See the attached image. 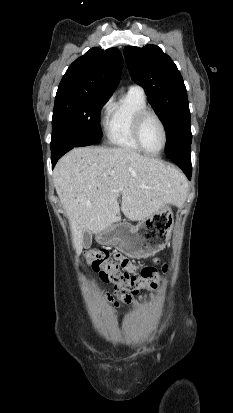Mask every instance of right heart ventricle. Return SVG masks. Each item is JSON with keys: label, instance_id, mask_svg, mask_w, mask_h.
<instances>
[{"label": "right heart ventricle", "instance_id": "obj_1", "mask_svg": "<svg viewBox=\"0 0 233 413\" xmlns=\"http://www.w3.org/2000/svg\"><path fill=\"white\" fill-rule=\"evenodd\" d=\"M145 108L147 100L144 92L132 88L114 102L105 122L109 144L128 151H141L134 140L132 127L136 114Z\"/></svg>", "mask_w": 233, "mask_h": 413}]
</instances>
